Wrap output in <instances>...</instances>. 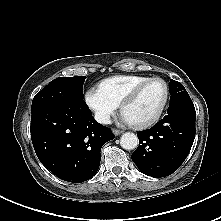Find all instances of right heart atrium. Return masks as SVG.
<instances>
[{
    "mask_svg": "<svg viewBox=\"0 0 221 221\" xmlns=\"http://www.w3.org/2000/svg\"><path fill=\"white\" fill-rule=\"evenodd\" d=\"M85 102L101 124H108L115 117L118 104L108 98L98 87H92L85 94Z\"/></svg>",
    "mask_w": 221,
    "mask_h": 221,
    "instance_id": "d8ad5b80",
    "label": "right heart atrium"
}]
</instances>
